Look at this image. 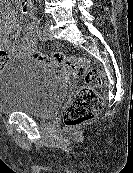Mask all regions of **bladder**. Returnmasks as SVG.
<instances>
[{
    "mask_svg": "<svg viewBox=\"0 0 133 173\" xmlns=\"http://www.w3.org/2000/svg\"><path fill=\"white\" fill-rule=\"evenodd\" d=\"M68 92L58 69L30 58L12 59L0 72V113L52 117Z\"/></svg>",
    "mask_w": 133,
    "mask_h": 173,
    "instance_id": "31cf9c89",
    "label": "bladder"
}]
</instances>
